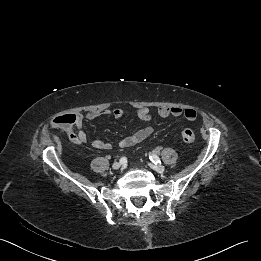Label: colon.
I'll use <instances>...</instances> for the list:
<instances>
[{"label":"colon","mask_w":261,"mask_h":261,"mask_svg":"<svg viewBox=\"0 0 261 261\" xmlns=\"http://www.w3.org/2000/svg\"><path fill=\"white\" fill-rule=\"evenodd\" d=\"M74 114H59L52 118L51 124L59 128H67L75 123ZM181 138L185 143H192L195 140V134L190 128H184L181 131Z\"/></svg>","instance_id":"obj_1"}]
</instances>
